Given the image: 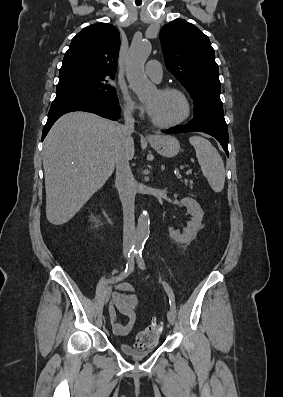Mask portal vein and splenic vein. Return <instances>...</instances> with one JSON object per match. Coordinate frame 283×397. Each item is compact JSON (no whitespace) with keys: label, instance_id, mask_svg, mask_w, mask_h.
I'll list each match as a JSON object with an SVG mask.
<instances>
[{"label":"portal vein and splenic vein","instance_id":"portal-vein-and-splenic-vein-1","mask_svg":"<svg viewBox=\"0 0 283 397\" xmlns=\"http://www.w3.org/2000/svg\"><path fill=\"white\" fill-rule=\"evenodd\" d=\"M192 173V170L189 169L188 171H186L185 175H190Z\"/></svg>","mask_w":283,"mask_h":397}]
</instances>
